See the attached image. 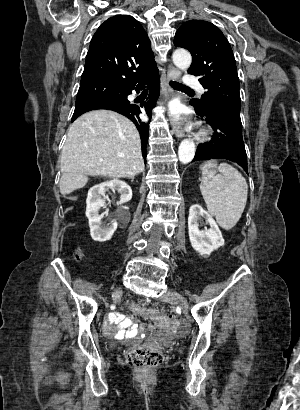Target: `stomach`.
Returning <instances> with one entry per match:
<instances>
[{
    "label": "stomach",
    "mask_w": 300,
    "mask_h": 410,
    "mask_svg": "<svg viewBox=\"0 0 300 410\" xmlns=\"http://www.w3.org/2000/svg\"><path fill=\"white\" fill-rule=\"evenodd\" d=\"M215 169H216V164L213 163L212 167L210 168V171H211V172H215Z\"/></svg>",
    "instance_id": "0dacf381"
}]
</instances>
